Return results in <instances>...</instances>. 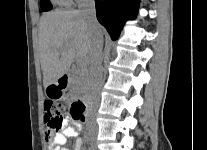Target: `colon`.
Masks as SVG:
<instances>
[{"mask_svg":"<svg viewBox=\"0 0 207 150\" xmlns=\"http://www.w3.org/2000/svg\"><path fill=\"white\" fill-rule=\"evenodd\" d=\"M44 109V123L46 125L47 132L50 134L60 131L66 120V105L60 101L49 99L45 102ZM72 116L75 119H79L81 117V114L74 106L72 107Z\"/></svg>","mask_w":207,"mask_h":150,"instance_id":"1","label":"colon"}]
</instances>
